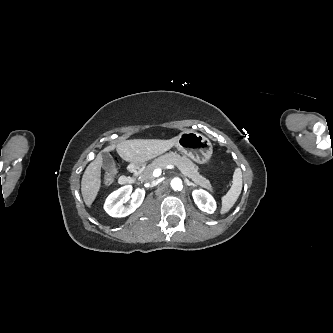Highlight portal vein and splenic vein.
<instances>
[{"mask_svg": "<svg viewBox=\"0 0 333 333\" xmlns=\"http://www.w3.org/2000/svg\"><path fill=\"white\" fill-rule=\"evenodd\" d=\"M165 169H175L174 165H167L165 167ZM162 173V169L161 168H157L153 171L152 175L153 177H159Z\"/></svg>", "mask_w": 333, "mask_h": 333, "instance_id": "18ae733b", "label": "portal vein and splenic vein"}]
</instances>
